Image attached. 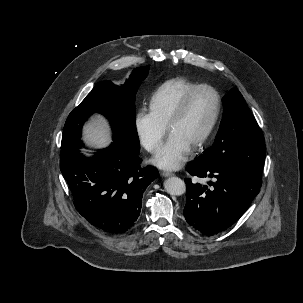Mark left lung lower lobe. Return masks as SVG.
<instances>
[{
  "mask_svg": "<svg viewBox=\"0 0 303 303\" xmlns=\"http://www.w3.org/2000/svg\"><path fill=\"white\" fill-rule=\"evenodd\" d=\"M192 176L210 178L209 188L186 182V221L205 235L217 234L230 227L260 192L258 179L236 168L194 160L186 166Z\"/></svg>",
  "mask_w": 303,
  "mask_h": 303,
  "instance_id": "obj_1",
  "label": "left lung lower lobe"
}]
</instances>
